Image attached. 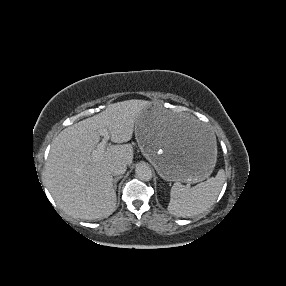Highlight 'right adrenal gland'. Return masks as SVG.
<instances>
[{
    "label": "right adrenal gland",
    "instance_id": "2a0ac1e0",
    "mask_svg": "<svg viewBox=\"0 0 286 286\" xmlns=\"http://www.w3.org/2000/svg\"><path fill=\"white\" fill-rule=\"evenodd\" d=\"M122 178V176H118L113 180L114 190L117 189V182Z\"/></svg>",
    "mask_w": 286,
    "mask_h": 286
}]
</instances>
